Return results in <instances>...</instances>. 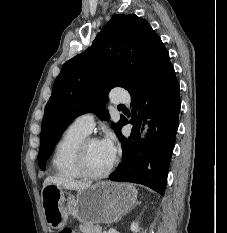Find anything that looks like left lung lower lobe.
<instances>
[{"mask_svg":"<svg viewBox=\"0 0 227 233\" xmlns=\"http://www.w3.org/2000/svg\"><path fill=\"white\" fill-rule=\"evenodd\" d=\"M179 91V83L171 65L153 85L131 95L130 123L134 126L129 138H125L121 130L117 134L122 144L123 162L110 175V180L142 184L164 194L179 124ZM147 114L153 117L149 134L140 140V129L146 122ZM128 123L124 118L122 126Z\"/></svg>","mask_w":227,"mask_h":233,"instance_id":"1","label":"left lung lower lobe"}]
</instances>
